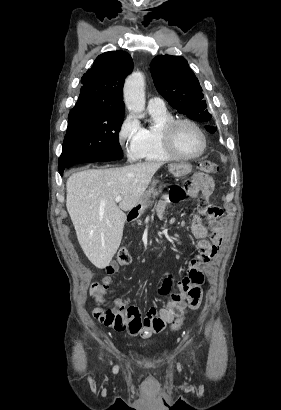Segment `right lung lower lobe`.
I'll list each match as a JSON object with an SVG mask.
<instances>
[{
	"label": "right lung lower lobe",
	"mask_w": 281,
	"mask_h": 410,
	"mask_svg": "<svg viewBox=\"0 0 281 410\" xmlns=\"http://www.w3.org/2000/svg\"><path fill=\"white\" fill-rule=\"evenodd\" d=\"M70 167H71V166H70ZM63 171H64V170H62V171H59V172H60V175H63Z\"/></svg>",
	"instance_id": "98d812e1"
}]
</instances>
